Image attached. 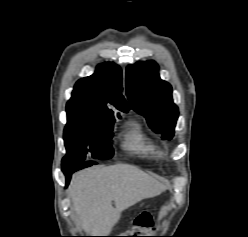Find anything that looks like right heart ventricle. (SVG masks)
Instances as JSON below:
<instances>
[{"label":"right heart ventricle","mask_w":248,"mask_h":237,"mask_svg":"<svg viewBox=\"0 0 248 237\" xmlns=\"http://www.w3.org/2000/svg\"><path fill=\"white\" fill-rule=\"evenodd\" d=\"M120 137L121 147L126 152L140 158L154 156L155 144L139 123L131 122L128 124Z\"/></svg>","instance_id":"1"}]
</instances>
